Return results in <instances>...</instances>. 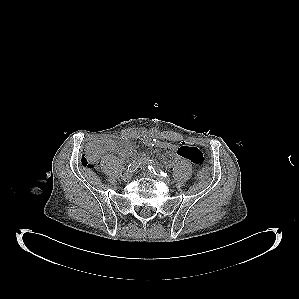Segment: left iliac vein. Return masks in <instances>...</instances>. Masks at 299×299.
Here are the masks:
<instances>
[{
	"label": "left iliac vein",
	"mask_w": 299,
	"mask_h": 299,
	"mask_svg": "<svg viewBox=\"0 0 299 299\" xmlns=\"http://www.w3.org/2000/svg\"><path fill=\"white\" fill-rule=\"evenodd\" d=\"M146 175L150 176V177H153V178H156V179H160V180L164 181L165 183H169L170 182L169 178L157 177L153 173H147Z\"/></svg>",
	"instance_id": "1"
}]
</instances>
